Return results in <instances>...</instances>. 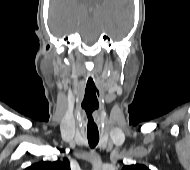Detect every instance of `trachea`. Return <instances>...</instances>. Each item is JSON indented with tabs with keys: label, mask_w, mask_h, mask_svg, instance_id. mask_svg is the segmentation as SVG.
<instances>
[{
	"label": "trachea",
	"mask_w": 190,
	"mask_h": 170,
	"mask_svg": "<svg viewBox=\"0 0 190 170\" xmlns=\"http://www.w3.org/2000/svg\"><path fill=\"white\" fill-rule=\"evenodd\" d=\"M87 138L91 148H94L99 142V136L88 135Z\"/></svg>",
	"instance_id": "trachea-1"
}]
</instances>
